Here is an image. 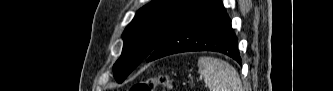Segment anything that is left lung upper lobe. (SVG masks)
Returning <instances> with one entry per match:
<instances>
[{
	"label": "left lung upper lobe",
	"instance_id": "left-lung-upper-lobe-1",
	"mask_svg": "<svg viewBox=\"0 0 333 91\" xmlns=\"http://www.w3.org/2000/svg\"><path fill=\"white\" fill-rule=\"evenodd\" d=\"M197 0H153L142 7L123 32L124 46L113 66L115 80H123L148 58L173 25Z\"/></svg>",
	"mask_w": 333,
	"mask_h": 91
}]
</instances>
